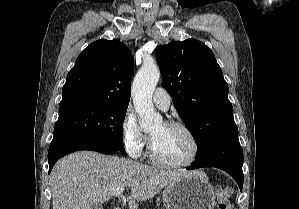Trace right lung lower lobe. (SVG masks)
<instances>
[{
    "instance_id": "right-lung-lower-lobe-1",
    "label": "right lung lower lobe",
    "mask_w": 299,
    "mask_h": 209,
    "mask_svg": "<svg viewBox=\"0 0 299 209\" xmlns=\"http://www.w3.org/2000/svg\"><path fill=\"white\" fill-rule=\"evenodd\" d=\"M79 150H92L104 154H114L120 151L112 144L102 140L87 139L63 133L54 134L48 151L49 173L59 158Z\"/></svg>"
}]
</instances>
